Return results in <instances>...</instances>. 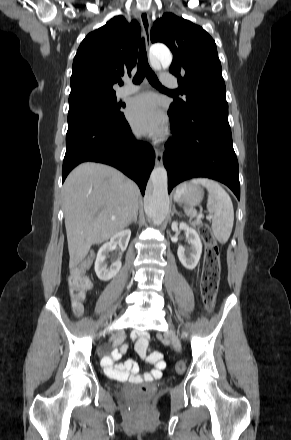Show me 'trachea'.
Here are the masks:
<instances>
[{"instance_id": "1", "label": "trachea", "mask_w": 291, "mask_h": 440, "mask_svg": "<svg viewBox=\"0 0 291 440\" xmlns=\"http://www.w3.org/2000/svg\"><path fill=\"white\" fill-rule=\"evenodd\" d=\"M145 76L152 86L157 88H164L159 82L156 74L152 71L148 64L145 41L144 39H142L139 49L137 73L133 78V83L140 84Z\"/></svg>"}]
</instances>
